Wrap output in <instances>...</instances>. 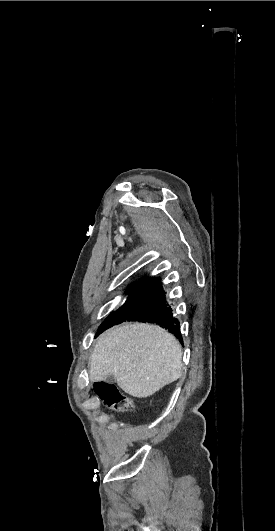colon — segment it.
<instances>
[{"label": "colon", "instance_id": "1", "mask_svg": "<svg viewBox=\"0 0 275 531\" xmlns=\"http://www.w3.org/2000/svg\"><path fill=\"white\" fill-rule=\"evenodd\" d=\"M93 391L106 406L114 411L131 412L135 408L131 398L109 381H98L93 386Z\"/></svg>", "mask_w": 275, "mask_h": 531}]
</instances>
